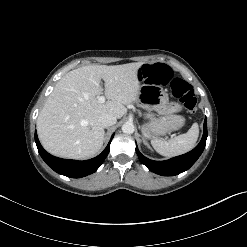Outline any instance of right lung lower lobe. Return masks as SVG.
Wrapping results in <instances>:
<instances>
[{
  "instance_id": "1",
  "label": "right lung lower lobe",
  "mask_w": 247,
  "mask_h": 247,
  "mask_svg": "<svg viewBox=\"0 0 247 247\" xmlns=\"http://www.w3.org/2000/svg\"><path fill=\"white\" fill-rule=\"evenodd\" d=\"M113 136L114 134L112 135L111 140ZM35 142L38 148V152L41 155L42 159L46 162V164L50 166L55 172L71 178H81L94 173L101 166V164L105 160L110 150V142H109V144L104 149V151L97 157L92 158L90 160L77 161V160L61 159L50 155L41 146L36 132H35Z\"/></svg>"
}]
</instances>
